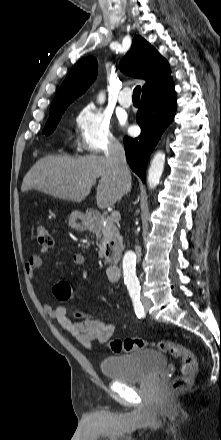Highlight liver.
<instances>
[{"mask_svg": "<svg viewBox=\"0 0 221 440\" xmlns=\"http://www.w3.org/2000/svg\"><path fill=\"white\" fill-rule=\"evenodd\" d=\"M97 179L96 202L100 209L110 207L122 198L121 180L106 157L99 155L41 158L25 175L21 190L35 189L79 203L90 194Z\"/></svg>", "mask_w": 221, "mask_h": 440, "instance_id": "liver-1", "label": "liver"}]
</instances>
